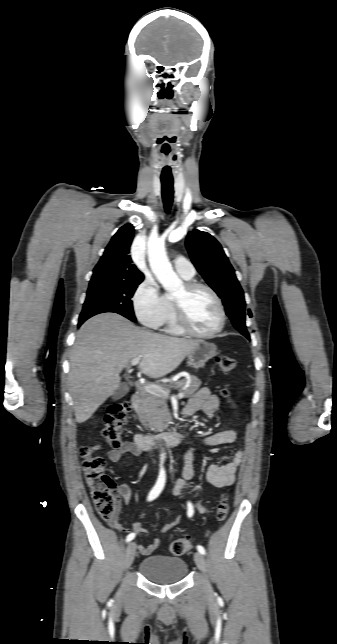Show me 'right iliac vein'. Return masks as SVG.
Segmentation results:
<instances>
[{
  "label": "right iliac vein",
  "instance_id": "63e3f726",
  "mask_svg": "<svg viewBox=\"0 0 337 644\" xmlns=\"http://www.w3.org/2000/svg\"><path fill=\"white\" fill-rule=\"evenodd\" d=\"M135 554H136V543L130 542L126 548L125 559H124V565L126 569L130 568V566L132 565L135 558Z\"/></svg>",
  "mask_w": 337,
  "mask_h": 644
}]
</instances>
